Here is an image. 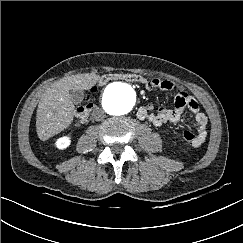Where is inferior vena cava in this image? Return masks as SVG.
<instances>
[{
  "label": "inferior vena cava",
  "mask_w": 243,
  "mask_h": 243,
  "mask_svg": "<svg viewBox=\"0 0 243 243\" xmlns=\"http://www.w3.org/2000/svg\"><path fill=\"white\" fill-rule=\"evenodd\" d=\"M92 116L95 120L101 121L106 117V113L104 110H102L100 108H96L93 110Z\"/></svg>",
  "instance_id": "obj_1"
}]
</instances>
